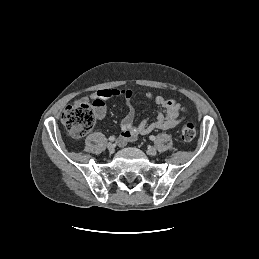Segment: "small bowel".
<instances>
[{
    "label": "small bowel",
    "mask_w": 259,
    "mask_h": 259,
    "mask_svg": "<svg viewBox=\"0 0 259 259\" xmlns=\"http://www.w3.org/2000/svg\"><path fill=\"white\" fill-rule=\"evenodd\" d=\"M116 96L124 97L128 106V111L120 122L121 134L118 140L120 146H124L128 142H133L137 140L139 136L147 135L156 129H173L182 121L186 113V109L177 100L166 99L161 95L145 92L143 96L153 101L159 108V112L153 120L145 119L135 125L134 100L137 94L130 89H101L82 97L76 103L92 101L96 117L103 119L106 114V101Z\"/></svg>",
    "instance_id": "c3829d8e"
}]
</instances>
